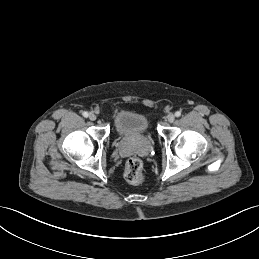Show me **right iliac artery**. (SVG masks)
Returning <instances> with one entry per match:
<instances>
[{
  "label": "right iliac artery",
  "mask_w": 259,
  "mask_h": 259,
  "mask_svg": "<svg viewBox=\"0 0 259 259\" xmlns=\"http://www.w3.org/2000/svg\"><path fill=\"white\" fill-rule=\"evenodd\" d=\"M85 118H87L89 116L88 112H83L82 114Z\"/></svg>",
  "instance_id": "right-iliac-artery-1"
}]
</instances>
